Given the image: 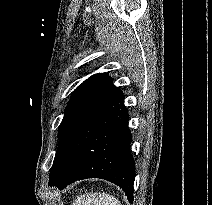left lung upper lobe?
Instances as JSON below:
<instances>
[{"mask_svg":"<svg viewBox=\"0 0 212 205\" xmlns=\"http://www.w3.org/2000/svg\"><path fill=\"white\" fill-rule=\"evenodd\" d=\"M112 84L105 73L95 74L80 84L68 103L65 116L59 126V147L56 152L49 185L58 177L75 133L84 117Z\"/></svg>","mask_w":212,"mask_h":205,"instance_id":"obj_1","label":"left lung upper lobe"}]
</instances>
